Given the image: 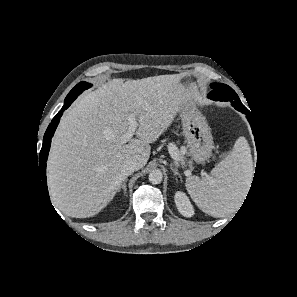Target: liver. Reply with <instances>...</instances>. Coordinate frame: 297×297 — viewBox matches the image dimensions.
I'll use <instances>...</instances> for the list:
<instances>
[{"mask_svg":"<svg viewBox=\"0 0 297 297\" xmlns=\"http://www.w3.org/2000/svg\"><path fill=\"white\" fill-rule=\"evenodd\" d=\"M182 76L113 79L81 96L62 116L52 140L47 181L52 203L74 218L96 215L114 198L125 177L121 166L147 163L151 147L191 93ZM133 115L138 138L122 136Z\"/></svg>","mask_w":297,"mask_h":297,"instance_id":"liver-1","label":"liver"}]
</instances>
